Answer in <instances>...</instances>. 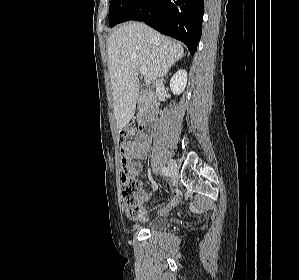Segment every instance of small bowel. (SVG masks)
<instances>
[{
	"mask_svg": "<svg viewBox=\"0 0 299 280\" xmlns=\"http://www.w3.org/2000/svg\"><path fill=\"white\" fill-rule=\"evenodd\" d=\"M151 144V139L147 135H140L135 141L130 142L125 147H121V152L124 153L128 159L138 158V159H144L147 156L149 147ZM132 166V172L134 174H139L141 172V165L140 164H134ZM140 198L142 202H146L149 199L148 194L145 191H141ZM180 202V199L178 197L174 198L167 207L160 209L161 214H166L169 212V210L177 205Z\"/></svg>",
	"mask_w": 299,
	"mask_h": 280,
	"instance_id": "c3829d8e",
	"label": "small bowel"
}]
</instances>
